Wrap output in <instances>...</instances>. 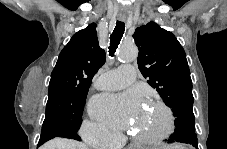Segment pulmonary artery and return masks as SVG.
Instances as JSON below:
<instances>
[{"label": "pulmonary artery", "mask_w": 227, "mask_h": 149, "mask_svg": "<svg viewBox=\"0 0 227 149\" xmlns=\"http://www.w3.org/2000/svg\"><path fill=\"white\" fill-rule=\"evenodd\" d=\"M135 67L122 65L117 69L102 73L96 80L95 86L100 90H118L134 82Z\"/></svg>", "instance_id": "e3ab8cb5"}]
</instances>
